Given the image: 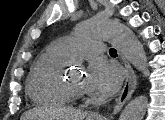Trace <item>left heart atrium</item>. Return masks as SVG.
<instances>
[{"instance_id": "39dd6f15", "label": "left heart atrium", "mask_w": 165, "mask_h": 120, "mask_svg": "<svg viewBox=\"0 0 165 120\" xmlns=\"http://www.w3.org/2000/svg\"><path fill=\"white\" fill-rule=\"evenodd\" d=\"M121 82L120 70L103 60H95L88 69L86 79L87 91L97 97L106 98L113 95Z\"/></svg>"}]
</instances>
